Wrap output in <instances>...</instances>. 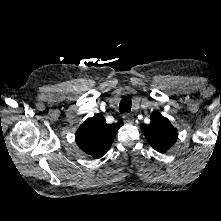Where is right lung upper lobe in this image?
I'll return each mask as SVG.
<instances>
[{"mask_svg": "<svg viewBox=\"0 0 221 221\" xmlns=\"http://www.w3.org/2000/svg\"><path fill=\"white\" fill-rule=\"evenodd\" d=\"M123 125L119 121L106 124L101 114L88 118L76 132V142L81 150L94 158H100L110 149L118 129Z\"/></svg>", "mask_w": 221, "mask_h": 221, "instance_id": "obj_1", "label": "right lung upper lobe"}]
</instances>
